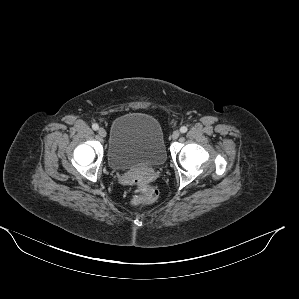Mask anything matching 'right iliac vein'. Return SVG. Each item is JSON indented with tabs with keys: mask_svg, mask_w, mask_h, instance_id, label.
Here are the masks:
<instances>
[{
	"mask_svg": "<svg viewBox=\"0 0 299 299\" xmlns=\"http://www.w3.org/2000/svg\"><path fill=\"white\" fill-rule=\"evenodd\" d=\"M98 134L101 136V137H105L106 136V130L104 128H100L98 130Z\"/></svg>",
	"mask_w": 299,
	"mask_h": 299,
	"instance_id": "obj_1",
	"label": "right iliac vein"
}]
</instances>
